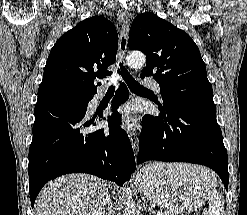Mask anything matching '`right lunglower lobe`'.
I'll return each instance as SVG.
<instances>
[{
	"label": "right lung lower lobe",
	"mask_w": 247,
	"mask_h": 215,
	"mask_svg": "<svg viewBox=\"0 0 247 215\" xmlns=\"http://www.w3.org/2000/svg\"><path fill=\"white\" fill-rule=\"evenodd\" d=\"M94 94L75 99L39 87L28 165L32 207L41 188L58 176L89 173L122 186L134 172L132 146L117 112L129 97L126 85H120L112 101L107 129H93L95 118L86 113Z\"/></svg>",
	"instance_id": "1"
}]
</instances>
